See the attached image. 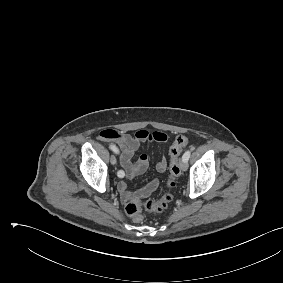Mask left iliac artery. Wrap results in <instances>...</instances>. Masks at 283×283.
Masks as SVG:
<instances>
[{"mask_svg": "<svg viewBox=\"0 0 283 283\" xmlns=\"http://www.w3.org/2000/svg\"><path fill=\"white\" fill-rule=\"evenodd\" d=\"M190 155H191V151H190V150H187V151L183 154L182 160L188 161L189 158H190Z\"/></svg>", "mask_w": 283, "mask_h": 283, "instance_id": "obj_1", "label": "left iliac artery"}]
</instances>
